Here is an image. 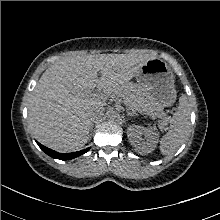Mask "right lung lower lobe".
Listing matches in <instances>:
<instances>
[{
  "instance_id": "obj_1",
  "label": "right lung lower lobe",
  "mask_w": 220,
  "mask_h": 220,
  "mask_svg": "<svg viewBox=\"0 0 220 220\" xmlns=\"http://www.w3.org/2000/svg\"><path fill=\"white\" fill-rule=\"evenodd\" d=\"M37 142V141H36ZM37 144L39 145V147L49 156L56 158V159H60V160H69V159H73L75 157H78L84 153H86L90 148L81 150V151H77L74 153H67V154H61L58 153L56 151H53L45 146H43L42 144H40L39 142H37Z\"/></svg>"
}]
</instances>
